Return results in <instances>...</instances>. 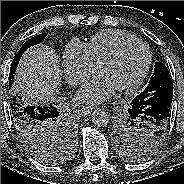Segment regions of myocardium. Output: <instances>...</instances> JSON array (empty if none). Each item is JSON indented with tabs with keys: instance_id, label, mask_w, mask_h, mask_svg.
I'll use <instances>...</instances> for the list:
<instances>
[{
	"instance_id": "myocardium-1",
	"label": "myocardium",
	"mask_w": 184,
	"mask_h": 184,
	"mask_svg": "<svg viewBox=\"0 0 184 184\" xmlns=\"http://www.w3.org/2000/svg\"><path fill=\"white\" fill-rule=\"evenodd\" d=\"M132 46H141V47H143L147 52V59H146V62L144 64L141 72L139 73V75L133 81H131L129 84H127V85H125L121 88H118V90L121 91V92H128V91H132V90L137 89L139 87V85L143 82L145 77L147 76L148 71H149L150 66H151V63H152V51H151L150 47L148 46V44H146L145 42H143L139 39H135V40L125 42V43L121 44L120 46H118L108 56H106L99 64V71L101 72V70L106 65H108V64L112 63L113 61H115L117 58L120 57V55L126 49H128Z\"/></svg>"
}]
</instances>
